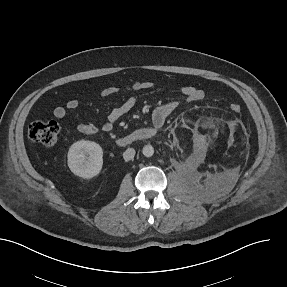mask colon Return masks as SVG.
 <instances>
[{
    "label": "colon",
    "instance_id": "5ec220e1",
    "mask_svg": "<svg viewBox=\"0 0 287 287\" xmlns=\"http://www.w3.org/2000/svg\"><path fill=\"white\" fill-rule=\"evenodd\" d=\"M229 109L233 113H240L242 105L239 101L233 100L229 103ZM60 133L58 123L54 121H35L29 126L28 135L31 141L39 143L45 147L56 144Z\"/></svg>",
    "mask_w": 287,
    "mask_h": 287
}]
</instances>
